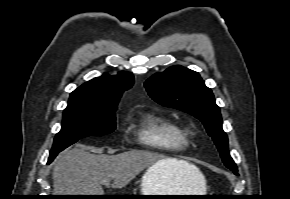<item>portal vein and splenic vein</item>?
Returning a JSON list of instances; mask_svg holds the SVG:
<instances>
[{
  "label": "portal vein and splenic vein",
  "mask_w": 290,
  "mask_h": 199,
  "mask_svg": "<svg viewBox=\"0 0 290 199\" xmlns=\"http://www.w3.org/2000/svg\"><path fill=\"white\" fill-rule=\"evenodd\" d=\"M102 184H104V185H108V184H109V181H105V182H103Z\"/></svg>",
  "instance_id": "18ae733b"
}]
</instances>
